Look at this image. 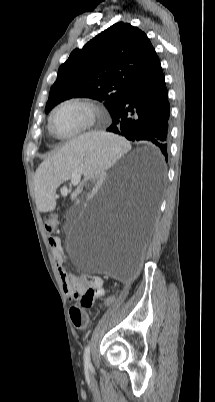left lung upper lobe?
I'll list each match as a JSON object with an SVG mask.
<instances>
[{"label": "left lung upper lobe", "instance_id": "obj_1", "mask_svg": "<svg viewBox=\"0 0 215 402\" xmlns=\"http://www.w3.org/2000/svg\"><path fill=\"white\" fill-rule=\"evenodd\" d=\"M158 59L143 31L116 23L72 51L60 66L45 112L64 100L88 97L104 102L112 116L130 85Z\"/></svg>", "mask_w": 215, "mask_h": 402}]
</instances>
